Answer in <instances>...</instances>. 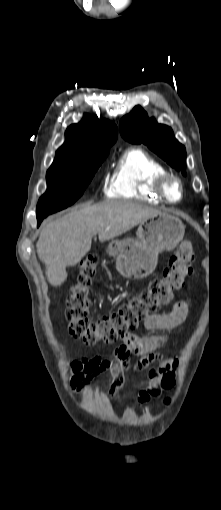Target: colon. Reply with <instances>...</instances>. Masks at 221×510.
I'll use <instances>...</instances> for the list:
<instances>
[{"instance_id": "1", "label": "colon", "mask_w": 221, "mask_h": 510, "mask_svg": "<svg viewBox=\"0 0 221 510\" xmlns=\"http://www.w3.org/2000/svg\"><path fill=\"white\" fill-rule=\"evenodd\" d=\"M194 260L191 242L183 241L161 277L153 279L147 288L121 305L117 311L92 320L89 317L92 305L91 284L98 270V258H85L79 264V272L67 300L66 318L71 335L87 345L117 341L124 333L135 329L141 321L171 302L174 292L184 287Z\"/></svg>"}]
</instances>
